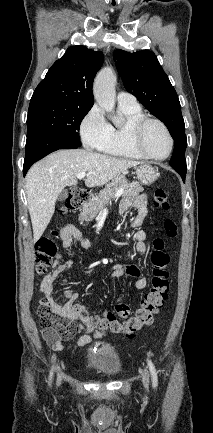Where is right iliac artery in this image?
<instances>
[{"label": "right iliac artery", "mask_w": 213, "mask_h": 433, "mask_svg": "<svg viewBox=\"0 0 213 433\" xmlns=\"http://www.w3.org/2000/svg\"><path fill=\"white\" fill-rule=\"evenodd\" d=\"M52 375H53V372L51 371V372H50V376H49V380L52 379Z\"/></svg>", "instance_id": "right-iliac-artery-1"}]
</instances>
